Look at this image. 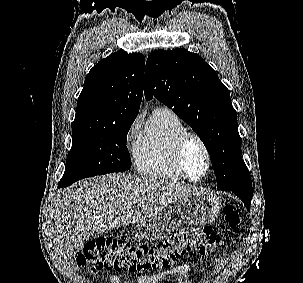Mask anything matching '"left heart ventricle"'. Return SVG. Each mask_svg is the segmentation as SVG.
I'll return each mask as SVG.
<instances>
[{
	"label": "left heart ventricle",
	"instance_id": "1",
	"mask_svg": "<svg viewBox=\"0 0 303 283\" xmlns=\"http://www.w3.org/2000/svg\"><path fill=\"white\" fill-rule=\"evenodd\" d=\"M186 168L193 178L201 177L206 170V158L200 145L195 140H190L184 151Z\"/></svg>",
	"mask_w": 303,
	"mask_h": 283
}]
</instances>
